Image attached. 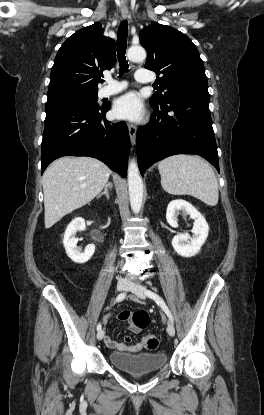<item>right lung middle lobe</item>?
Returning <instances> with one entry per match:
<instances>
[{"instance_id": "1", "label": "right lung middle lobe", "mask_w": 264, "mask_h": 415, "mask_svg": "<svg viewBox=\"0 0 264 415\" xmlns=\"http://www.w3.org/2000/svg\"><path fill=\"white\" fill-rule=\"evenodd\" d=\"M64 106H82L89 108H98L97 93L93 94H77L70 93L54 98H49L46 102V110L64 107Z\"/></svg>"}]
</instances>
